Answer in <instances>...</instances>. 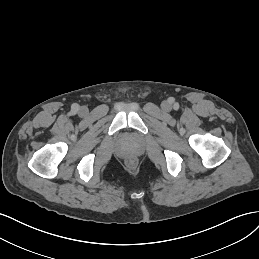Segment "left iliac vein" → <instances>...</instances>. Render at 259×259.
<instances>
[{
  "mask_svg": "<svg viewBox=\"0 0 259 259\" xmlns=\"http://www.w3.org/2000/svg\"><path fill=\"white\" fill-rule=\"evenodd\" d=\"M163 109L169 110L171 108V104L169 102H163L162 104Z\"/></svg>",
  "mask_w": 259,
  "mask_h": 259,
  "instance_id": "4c4485c4",
  "label": "left iliac vein"
}]
</instances>
